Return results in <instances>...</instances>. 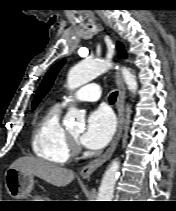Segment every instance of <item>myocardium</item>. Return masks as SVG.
<instances>
[{
	"instance_id": "1",
	"label": "myocardium",
	"mask_w": 176,
	"mask_h": 211,
	"mask_svg": "<svg viewBox=\"0 0 176 211\" xmlns=\"http://www.w3.org/2000/svg\"><path fill=\"white\" fill-rule=\"evenodd\" d=\"M67 137H68V140H69V143H70V148L72 151L76 152L79 150V146H78V141H77V138L74 137L70 132H67Z\"/></svg>"
}]
</instances>
